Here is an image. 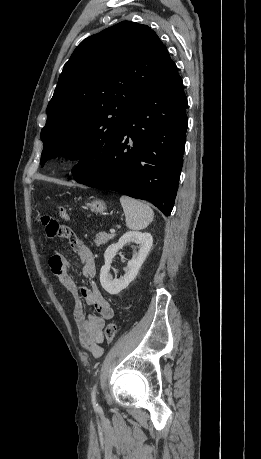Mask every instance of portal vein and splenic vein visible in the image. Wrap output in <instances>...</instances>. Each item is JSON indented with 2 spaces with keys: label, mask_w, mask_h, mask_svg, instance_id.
Returning <instances> with one entry per match:
<instances>
[{
  "label": "portal vein and splenic vein",
  "mask_w": 261,
  "mask_h": 459,
  "mask_svg": "<svg viewBox=\"0 0 261 459\" xmlns=\"http://www.w3.org/2000/svg\"><path fill=\"white\" fill-rule=\"evenodd\" d=\"M110 233H113V234H114V233H115V229H114V228H111V229H110Z\"/></svg>",
  "instance_id": "obj_1"
}]
</instances>
